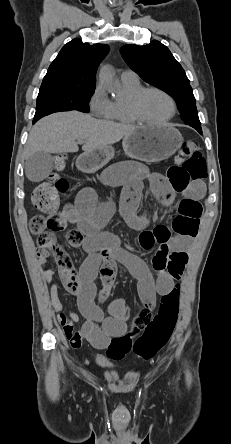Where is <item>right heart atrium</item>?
Returning <instances> with one entry per match:
<instances>
[{
	"label": "right heart atrium",
	"instance_id": "right-heart-atrium-1",
	"mask_svg": "<svg viewBox=\"0 0 231 444\" xmlns=\"http://www.w3.org/2000/svg\"><path fill=\"white\" fill-rule=\"evenodd\" d=\"M111 101L102 85H97L89 99L91 112L97 117H106L110 110Z\"/></svg>",
	"mask_w": 231,
	"mask_h": 444
}]
</instances>
